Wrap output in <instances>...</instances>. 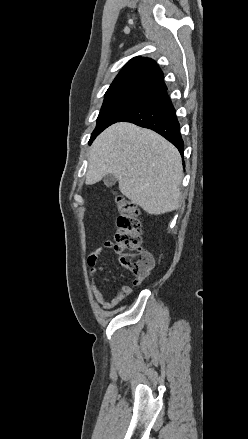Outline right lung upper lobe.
<instances>
[{
    "label": "right lung upper lobe",
    "instance_id": "obj_1",
    "mask_svg": "<svg viewBox=\"0 0 248 439\" xmlns=\"http://www.w3.org/2000/svg\"><path fill=\"white\" fill-rule=\"evenodd\" d=\"M166 90L163 73L159 66L150 58L138 56L124 65L106 91L105 97L120 93H133L153 98Z\"/></svg>",
    "mask_w": 248,
    "mask_h": 439
}]
</instances>
